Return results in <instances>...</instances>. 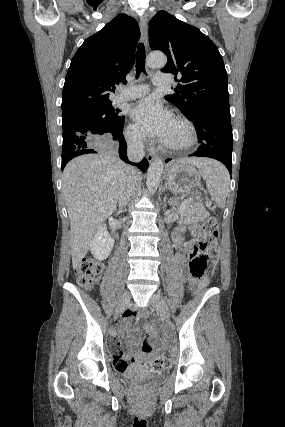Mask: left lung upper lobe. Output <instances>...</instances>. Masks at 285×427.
I'll return each instance as SVG.
<instances>
[{
    "label": "left lung upper lobe",
    "instance_id": "5c2ea615",
    "mask_svg": "<svg viewBox=\"0 0 285 427\" xmlns=\"http://www.w3.org/2000/svg\"><path fill=\"white\" fill-rule=\"evenodd\" d=\"M153 50L167 55L162 72L179 82L176 94L166 95L187 118L197 111L215 109L230 113L228 78L216 45L199 29L166 11H159L149 23Z\"/></svg>",
    "mask_w": 285,
    "mask_h": 427
}]
</instances>
